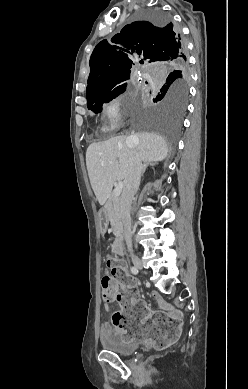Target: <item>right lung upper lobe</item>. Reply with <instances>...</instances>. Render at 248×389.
<instances>
[{
	"mask_svg": "<svg viewBox=\"0 0 248 389\" xmlns=\"http://www.w3.org/2000/svg\"><path fill=\"white\" fill-rule=\"evenodd\" d=\"M178 33L173 24L155 25L147 21H136L126 25L111 40L99 42L90 58V74L86 96L108 87L116 79L130 75L132 60L128 54L142 57L140 63L162 67L172 61L186 62L182 40L179 51Z\"/></svg>",
	"mask_w": 248,
	"mask_h": 389,
	"instance_id": "right-lung-upper-lobe-1",
	"label": "right lung upper lobe"
}]
</instances>
